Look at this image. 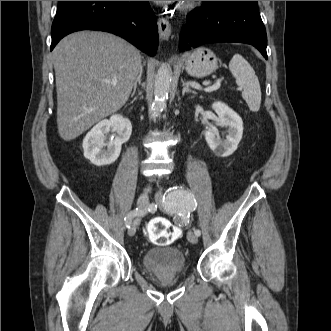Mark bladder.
Wrapping results in <instances>:
<instances>
[{
  "instance_id": "obj_1",
  "label": "bladder",
  "mask_w": 331,
  "mask_h": 331,
  "mask_svg": "<svg viewBox=\"0 0 331 331\" xmlns=\"http://www.w3.org/2000/svg\"><path fill=\"white\" fill-rule=\"evenodd\" d=\"M142 264L144 269L153 275H168L183 272L186 258L176 247H157L143 254Z\"/></svg>"
}]
</instances>
